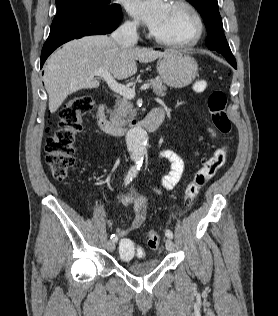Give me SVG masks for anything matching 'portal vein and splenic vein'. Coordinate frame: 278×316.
<instances>
[{
  "label": "portal vein and splenic vein",
  "instance_id": "portal-vein-and-splenic-vein-1",
  "mask_svg": "<svg viewBox=\"0 0 278 316\" xmlns=\"http://www.w3.org/2000/svg\"><path fill=\"white\" fill-rule=\"evenodd\" d=\"M94 75L102 77L114 92L122 95L124 98L132 99L135 97V89L118 83L108 71L96 70ZM149 87L150 84L146 83L140 87V90H147Z\"/></svg>",
  "mask_w": 278,
  "mask_h": 316
}]
</instances>
